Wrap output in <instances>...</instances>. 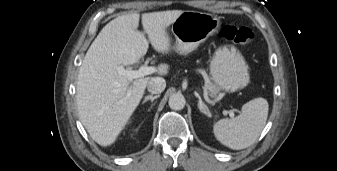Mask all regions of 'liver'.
I'll list each match as a JSON object with an SVG mask.
<instances>
[{"mask_svg": "<svg viewBox=\"0 0 337 171\" xmlns=\"http://www.w3.org/2000/svg\"><path fill=\"white\" fill-rule=\"evenodd\" d=\"M182 12L142 14L144 32L138 30L140 14L122 15L107 23L92 42L78 73L76 102L82 124L99 145L106 147L115 142L154 78L129 81L118 73L117 67L137 63L149 43L157 52L169 53L167 28ZM168 68L167 64H160L158 74L166 75Z\"/></svg>", "mask_w": 337, "mask_h": 171, "instance_id": "liver-1", "label": "liver"}]
</instances>
